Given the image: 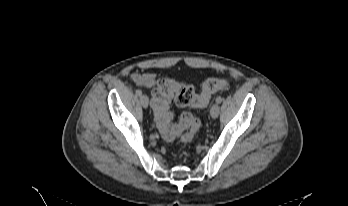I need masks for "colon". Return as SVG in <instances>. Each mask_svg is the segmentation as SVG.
Returning <instances> with one entry per match:
<instances>
[{"instance_id":"5ec220e1","label":"colon","mask_w":348,"mask_h":206,"mask_svg":"<svg viewBox=\"0 0 348 206\" xmlns=\"http://www.w3.org/2000/svg\"><path fill=\"white\" fill-rule=\"evenodd\" d=\"M229 81L226 78H211L204 85L200 95L190 85L180 84L173 80L162 79L152 92V107L155 123L164 140L174 141L183 131L187 132L182 136L184 142L191 141L199 130L200 122L190 112L181 114L179 123L173 124V115L170 111V102L175 100L180 107H205L212 94L226 90Z\"/></svg>"}]
</instances>
